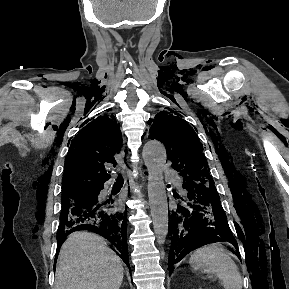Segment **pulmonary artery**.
Here are the masks:
<instances>
[{"mask_svg": "<svg viewBox=\"0 0 289 289\" xmlns=\"http://www.w3.org/2000/svg\"><path fill=\"white\" fill-rule=\"evenodd\" d=\"M165 177H166V178H174V177H175V174L172 173V172L166 171V172H165ZM174 182H175L176 184L178 183V181H177L176 179L174 180Z\"/></svg>", "mask_w": 289, "mask_h": 289, "instance_id": "e3ab8cb5", "label": "pulmonary artery"}]
</instances>
